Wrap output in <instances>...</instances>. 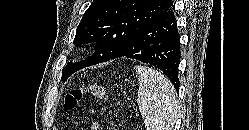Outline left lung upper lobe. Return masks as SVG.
Wrapping results in <instances>:
<instances>
[{
    "instance_id": "5c2ea615",
    "label": "left lung upper lobe",
    "mask_w": 249,
    "mask_h": 130,
    "mask_svg": "<svg viewBox=\"0 0 249 130\" xmlns=\"http://www.w3.org/2000/svg\"><path fill=\"white\" fill-rule=\"evenodd\" d=\"M172 6V0H94L76 29L74 44L97 42L95 52L64 67L62 80L82 68L109 61L139 30Z\"/></svg>"
}]
</instances>
